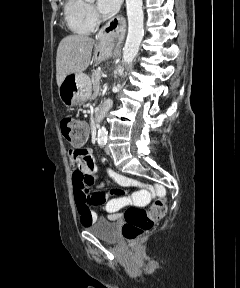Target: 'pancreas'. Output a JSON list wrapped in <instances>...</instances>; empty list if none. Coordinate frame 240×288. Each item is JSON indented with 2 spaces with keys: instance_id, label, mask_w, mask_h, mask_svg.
<instances>
[{
  "instance_id": "cf45deb5",
  "label": "pancreas",
  "mask_w": 240,
  "mask_h": 288,
  "mask_svg": "<svg viewBox=\"0 0 240 288\" xmlns=\"http://www.w3.org/2000/svg\"><path fill=\"white\" fill-rule=\"evenodd\" d=\"M102 75H103V73L101 70H95L92 73L91 80H92L94 91H98L99 85H100V79L102 78Z\"/></svg>"
}]
</instances>
